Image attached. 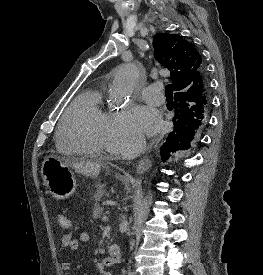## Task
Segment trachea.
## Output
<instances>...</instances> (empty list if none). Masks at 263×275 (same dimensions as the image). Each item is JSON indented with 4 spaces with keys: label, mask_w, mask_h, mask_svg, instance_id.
I'll return each mask as SVG.
<instances>
[{
    "label": "trachea",
    "mask_w": 263,
    "mask_h": 275,
    "mask_svg": "<svg viewBox=\"0 0 263 275\" xmlns=\"http://www.w3.org/2000/svg\"><path fill=\"white\" fill-rule=\"evenodd\" d=\"M165 94L167 98L173 97V86L172 84H168L165 88Z\"/></svg>",
    "instance_id": "trachea-1"
}]
</instances>
